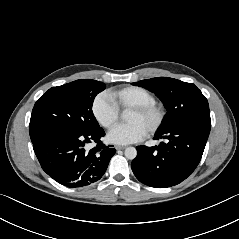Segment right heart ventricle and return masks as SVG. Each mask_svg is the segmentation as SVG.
<instances>
[{
    "instance_id": "right-heart-ventricle-1",
    "label": "right heart ventricle",
    "mask_w": 239,
    "mask_h": 239,
    "mask_svg": "<svg viewBox=\"0 0 239 239\" xmlns=\"http://www.w3.org/2000/svg\"><path fill=\"white\" fill-rule=\"evenodd\" d=\"M119 110H129L135 106L156 103L155 96L143 87L128 86L108 93Z\"/></svg>"
}]
</instances>
